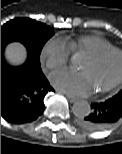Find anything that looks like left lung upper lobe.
<instances>
[{
    "instance_id": "left-lung-upper-lobe-1",
    "label": "left lung upper lobe",
    "mask_w": 122,
    "mask_h": 154,
    "mask_svg": "<svg viewBox=\"0 0 122 154\" xmlns=\"http://www.w3.org/2000/svg\"><path fill=\"white\" fill-rule=\"evenodd\" d=\"M116 95H118V96L122 95V90L118 94H116Z\"/></svg>"
}]
</instances>
